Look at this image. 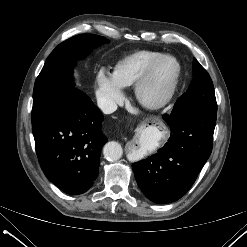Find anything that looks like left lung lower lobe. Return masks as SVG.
Here are the masks:
<instances>
[{"instance_id": "obj_1", "label": "left lung lower lobe", "mask_w": 247, "mask_h": 247, "mask_svg": "<svg viewBox=\"0 0 247 247\" xmlns=\"http://www.w3.org/2000/svg\"><path fill=\"white\" fill-rule=\"evenodd\" d=\"M216 113L192 103L163 116L171 129L168 142L158 153L132 165L148 199L174 202L191 188L211 154Z\"/></svg>"}]
</instances>
